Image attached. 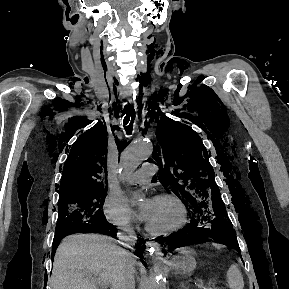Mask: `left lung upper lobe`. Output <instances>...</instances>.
<instances>
[{"label":"left lung upper lobe","instance_id":"1","mask_svg":"<svg viewBox=\"0 0 289 289\" xmlns=\"http://www.w3.org/2000/svg\"><path fill=\"white\" fill-rule=\"evenodd\" d=\"M156 138L153 159L163 170V186L187 203L190 218L206 216V221L214 220L218 241L231 245V222L217 215V207L224 204L201 138L189 126L166 116L158 123Z\"/></svg>","mask_w":289,"mask_h":289}]
</instances>
